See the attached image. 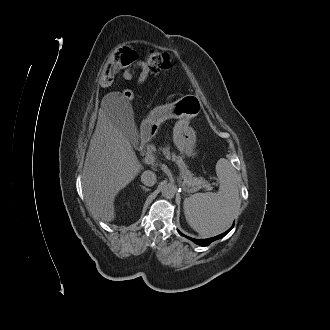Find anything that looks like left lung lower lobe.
I'll list each match as a JSON object with an SVG mask.
<instances>
[{
    "mask_svg": "<svg viewBox=\"0 0 330 330\" xmlns=\"http://www.w3.org/2000/svg\"><path fill=\"white\" fill-rule=\"evenodd\" d=\"M233 227H234V224L226 232H224V233H222V234H220L218 236H215V237H212V238H208V239H193V238H190L188 236L183 235L180 231H178V232H179L180 235H182V236H184V237L192 240L193 242H195L198 245L208 246L211 242L224 237Z\"/></svg>",
    "mask_w": 330,
    "mask_h": 330,
    "instance_id": "1",
    "label": "left lung lower lobe"
}]
</instances>
